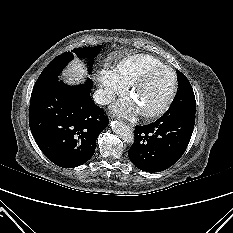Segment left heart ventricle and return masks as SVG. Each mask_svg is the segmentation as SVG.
Segmentation results:
<instances>
[{"mask_svg":"<svg viewBox=\"0 0 233 233\" xmlns=\"http://www.w3.org/2000/svg\"><path fill=\"white\" fill-rule=\"evenodd\" d=\"M172 85V75L164 70L151 74L132 94L140 111L158 107L166 98Z\"/></svg>","mask_w":233,"mask_h":233,"instance_id":"b2bd125f","label":"left heart ventricle"}]
</instances>
